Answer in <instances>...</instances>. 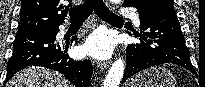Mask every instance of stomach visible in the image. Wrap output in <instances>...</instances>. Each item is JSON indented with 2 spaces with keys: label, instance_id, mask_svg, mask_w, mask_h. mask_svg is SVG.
Listing matches in <instances>:
<instances>
[{
  "label": "stomach",
  "instance_id": "0dacf381",
  "mask_svg": "<svg viewBox=\"0 0 205 87\" xmlns=\"http://www.w3.org/2000/svg\"><path fill=\"white\" fill-rule=\"evenodd\" d=\"M175 76L164 67H151L135 75L126 87H175Z\"/></svg>",
  "mask_w": 205,
  "mask_h": 87
}]
</instances>
